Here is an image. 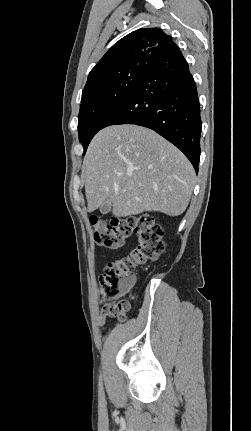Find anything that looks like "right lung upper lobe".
Returning a JSON list of instances; mask_svg holds the SVG:
<instances>
[{
	"label": "right lung upper lobe",
	"mask_w": 251,
	"mask_h": 431,
	"mask_svg": "<svg viewBox=\"0 0 251 431\" xmlns=\"http://www.w3.org/2000/svg\"><path fill=\"white\" fill-rule=\"evenodd\" d=\"M179 50L171 37L158 28H142L114 44L90 71L85 87L138 61H148L154 53H175Z\"/></svg>",
	"instance_id": "obj_1"
}]
</instances>
